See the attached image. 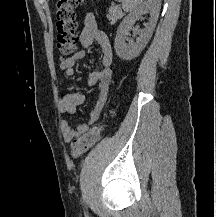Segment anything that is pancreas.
Wrapping results in <instances>:
<instances>
[{
    "instance_id": "pancreas-1",
    "label": "pancreas",
    "mask_w": 216,
    "mask_h": 217,
    "mask_svg": "<svg viewBox=\"0 0 216 217\" xmlns=\"http://www.w3.org/2000/svg\"><path fill=\"white\" fill-rule=\"evenodd\" d=\"M108 12L109 14L107 15V18L109 19L111 25L124 15L120 6H112L109 8Z\"/></svg>"
}]
</instances>
